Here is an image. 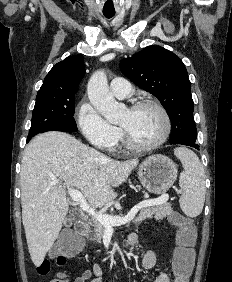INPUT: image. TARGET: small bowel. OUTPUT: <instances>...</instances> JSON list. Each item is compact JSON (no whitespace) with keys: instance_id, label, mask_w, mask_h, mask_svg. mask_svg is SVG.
Listing matches in <instances>:
<instances>
[{"instance_id":"small-bowel-1","label":"small bowel","mask_w":232,"mask_h":282,"mask_svg":"<svg viewBox=\"0 0 232 282\" xmlns=\"http://www.w3.org/2000/svg\"><path fill=\"white\" fill-rule=\"evenodd\" d=\"M128 241L131 244H137L140 242L138 234L132 233L128 237ZM157 262L156 253L153 250H146L142 257V268L144 270L152 269ZM50 282H70L65 278L64 274L60 273ZM73 282H104L103 279V267L101 264H94L91 269L85 270L80 276L75 278ZM154 282H170V278L166 272H161Z\"/></svg>"}]
</instances>
